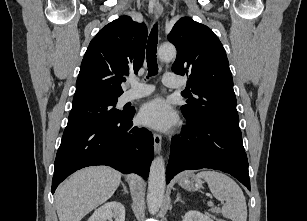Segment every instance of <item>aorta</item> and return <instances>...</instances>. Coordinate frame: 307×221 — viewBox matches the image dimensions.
<instances>
[{"mask_svg": "<svg viewBox=\"0 0 307 221\" xmlns=\"http://www.w3.org/2000/svg\"><path fill=\"white\" fill-rule=\"evenodd\" d=\"M158 56L162 61H171L176 57L173 45H162L158 49ZM165 163L162 156L156 157L150 166L148 179L147 205L150 214L159 211L165 193Z\"/></svg>", "mask_w": 307, "mask_h": 221, "instance_id": "aorta-1", "label": "aorta"}]
</instances>
